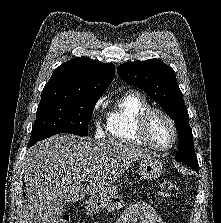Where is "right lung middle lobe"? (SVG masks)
<instances>
[{
  "instance_id": "right-lung-middle-lobe-1",
  "label": "right lung middle lobe",
  "mask_w": 221,
  "mask_h": 223,
  "mask_svg": "<svg viewBox=\"0 0 221 223\" xmlns=\"http://www.w3.org/2000/svg\"><path fill=\"white\" fill-rule=\"evenodd\" d=\"M99 98H69L40 102L29 145L58 133L88 135V124Z\"/></svg>"
}]
</instances>
